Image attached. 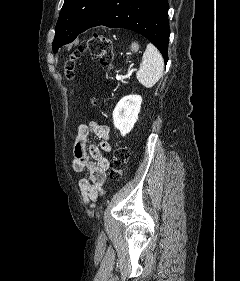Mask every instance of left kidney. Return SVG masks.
Here are the masks:
<instances>
[{
	"label": "left kidney",
	"instance_id": "1",
	"mask_svg": "<svg viewBox=\"0 0 240 281\" xmlns=\"http://www.w3.org/2000/svg\"><path fill=\"white\" fill-rule=\"evenodd\" d=\"M142 97L140 95H128L123 97L113 111V123L122 136L128 134L138 120Z\"/></svg>",
	"mask_w": 240,
	"mask_h": 281
}]
</instances>
